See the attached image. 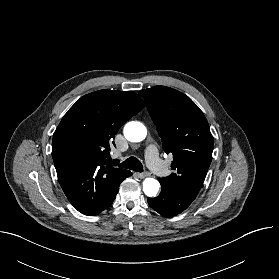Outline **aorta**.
<instances>
[{
  "label": "aorta",
  "mask_w": 279,
  "mask_h": 279,
  "mask_svg": "<svg viewBox=\"0 0 279 279\" xmlns=\"http://www.w3.org/2000/svg\"><path fill=\"white\" fill-rule=\"evenodd\" d=\"M146 127L137 121L128 122L124 127V136L130 142H141L146 138ZM160 184L156 179L146 178L143 181V192L148 197H154L158 193Z\"/></svg>",
  "instance_id": "aorta-1"
}]
</instances>
